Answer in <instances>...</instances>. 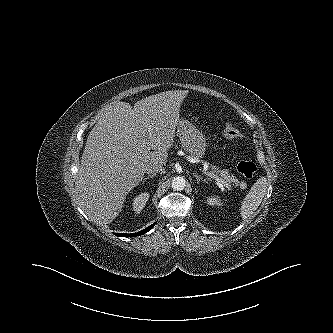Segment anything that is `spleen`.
I'll use <instances>...</instances> for the list:
<instances>
[{"label":"spleen","instance_id":"3e777b00","mask_svg":"<svg viewBox=\"0 0 333 333\" xmlns=\"http://www.w3.org/2000/svg\"><path fill=\"white\" fill-rule=\"evenodd\" d=\"M268 189V181L265 177L259 178L251 187L241 203V216L243 220L254 217L255 211L260 206Z\"/></svg>","mask_w":333,"mask_h":333}]
</instances>
